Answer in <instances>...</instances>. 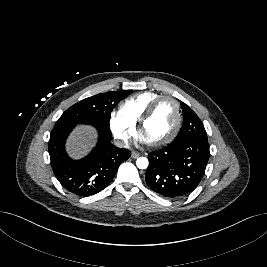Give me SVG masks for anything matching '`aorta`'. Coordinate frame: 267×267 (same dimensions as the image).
<instances>
[{
	"instance_id": "1",
	"label": "aorta",
	"mask_w": 267,
	"mask_h": 267,
	"mask_svg": "<svg viewBox=\"0 0 267 267\" xmlns=\"http://www.w3.org/2000/svg\"><path fill=\"white\" fill-rule=\"evenodd\" d=\"M136 165L139 169H146L149 165V161L146 157H139L136 161Z\"/></svg>"
}]
</instances>
